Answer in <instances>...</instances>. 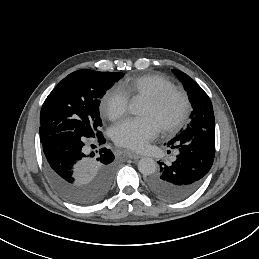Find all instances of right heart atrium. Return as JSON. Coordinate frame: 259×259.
<instances>
[{"mask_svg": "<svg viewBox=\"0 0 259 259\" xmlns=\"http://www.w3.org/2000/svg\"><path fill=\"white\" fill-rule=\"evenodd\" d=\"M102 101L105 114L111 119L123 116L128 110V100L115 90H108L104 94Z\"/></svg>", "mask_w": 259, "mask_h": 259, "instance_id": "obj_1", "label": "right heart atrium"}]
</instances>
